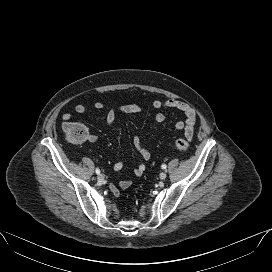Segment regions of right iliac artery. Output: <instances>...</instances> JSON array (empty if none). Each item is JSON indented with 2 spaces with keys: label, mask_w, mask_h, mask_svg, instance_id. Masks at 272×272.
<instances>
[{
  "label": "right iliac artery",
  "mask_w": 272,
  "mask_h": 272,
  "mask_svg": "<svg viewBox=\"0 0 272 272\" xmlns=\"http://www.w3.org/2000/svg\"><path fill=\"white\" fill-rule=\"evenodd\" d=\"M95 172L96 174H100V170L98 168H96Z\"/></svg>",
  "instance_id": "1"
}]
</instances>
